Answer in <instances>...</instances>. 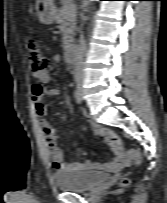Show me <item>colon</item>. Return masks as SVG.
<instances>
[{
  "label": "colon",
  "mask_w": 167,
  "mask_h": 203,
  "mask_svg": "<svg viewBox=\"0 0 167 203\" xmlns=\"http://www.w3.org/2000/svg\"><path fill=\"white\" fill-rule=\"evenodd\" d=\"M27 56L29 61L30 70L33 74H39L46 70L48 66V58L46 54L39 48L33 38L27 41ZM122 162L126 165L132 163L139 164L141 162V155L137 150L131 149L122 152ZM129 180L124 178L122 185H127Z\"/></svg>",
  "instance_id": "colon-1"
}]
</instances>
